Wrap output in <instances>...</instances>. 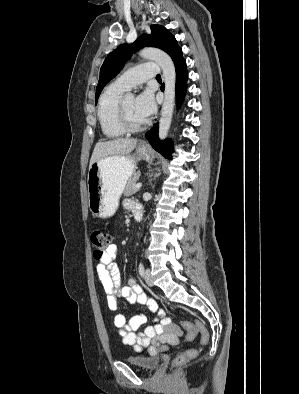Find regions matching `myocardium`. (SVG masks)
<instances>
[{"mask_svg": "<svg viewBox=\"0 0 299 394\" xmlns=\"http://www.w3.org/2000/svg\"><path fill=\"white\" fill-rule=\"evenodd\" d=\"M125 99L126 97L122 96L118 102V106H117L118 123L125 132H130V133L138 132L146 126V122L144 121L141 124L135 125L129 121L125 110Z\"/></svg>", "mask_w": 299, "mask_h": 394, "instance_id": "myocardium-1", "label": "myocardium"}]
</instances>
